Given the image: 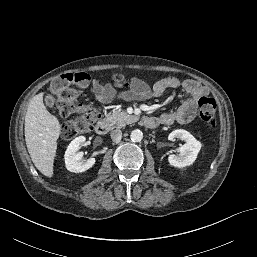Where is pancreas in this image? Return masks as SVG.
<instances>
[{"instance_id": "pancreas-1", "label": "pancreas", "mask_w": 257, "mask_h": 257, "mask_svg": "<svg viewBox=\"0 0 257 257\" xmlns=\"http://www.w3.org/2000/svg\"><path fill=\"white\" fill-rule=\"evenodd\" d=\"M137 117L127 114L125 111L113 110L106 115L105 120L112 128H122L131 124Z\"/></svg>"}]
</instances>
